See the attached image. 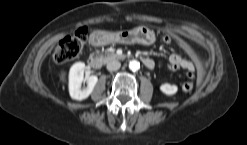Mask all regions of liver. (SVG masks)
<instances>
[{"instance_id": "1", "label": "liver", "mask_w": 247, "mask_h": 145, "mask_svg": "<svg viewBox=\"0 0 247 145\" xmlns=\"http://www.w3.org/2000/svg\"><path fill=\"white\" fill-rule=\"evenodd\" d=\"M60 80L62 81V82H65V72H61V74H60Z\"/></svg>"}]
</instances>
